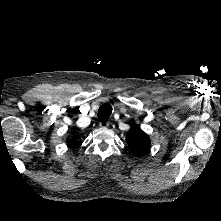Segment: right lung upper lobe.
<instances>
[{"mask_svg": "<svg viewBox=\"0 0 221 221\" xmlns=\"http://www.w3.org/2000/svg\"><path fill=\"white\" fill-rule=\"evenodd\" d=\"M70 141V145H75L76 144V138L75 137H73L71 140H69Z\"/></svg>", "mask_w": 221, "mask_h": 221, "instance_id": "right-lung-upper-lobe-1", "label": "right lung upper lobe"}]
</instances>
